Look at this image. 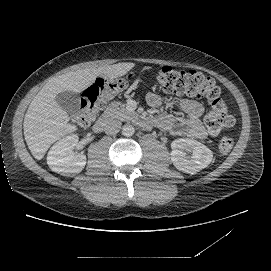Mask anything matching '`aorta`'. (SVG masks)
Returning <instances> with one entry per match:
<instances>
[{"label":"aorta","mask_w":271,"mask_h":271,"mask_svg":"<svg viewBox=\"0 0 271 271\" xmlns=\"http://www.w3.org/2000/svg\"><path fill=\"white\" fill-rule=\"evenodd\" d=\"M135 133V128L131 124H125L122 127V134L126 137H130L134 135Z\"/></svg>","instance_id":"obj_1"}]
</instances>
